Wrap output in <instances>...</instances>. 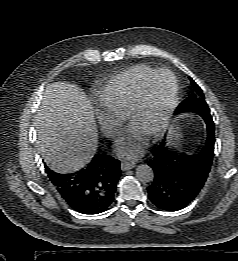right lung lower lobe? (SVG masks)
Here are the masks:
<instances>
[{
    "instance_id": "right-lung-lower-lobe-1",
    "label": "right lung lower lobe",
    "mask_w": 238,
    "mask_h": 261,
    "mask_svg": "<svg viewBox=\"0 0 238 261\" xmlns=\"http://www.w3.org/2000/svg\"><path fill=\"white\" fill-rule=\"evenodd\" d=\"M45 168L63 199L80 213L104 212L114 201L121 171L120 162L111 156L97 154L87 166L69 174Z\"/></svg>"
}]
</instances>
